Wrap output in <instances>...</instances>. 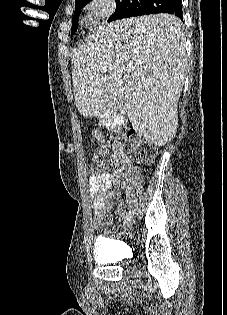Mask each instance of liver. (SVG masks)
<instances>
[{"mask_svg": "<svg viewBox=\"0 0 227 315\" xmlns=\"http://www.w3.org/2000/svg\"><path fill=\"white\" fill-rule=\"evenodd\" d=\"M185 42L181 20L166 13L117 20L89 35L71 62L79 113L93 117L124 103L140 136L166 144L188 73Z\"/></svg>", "mask_w": 227, "mask_h": 315, "instance_id": "liver-1", "label": "liver"}]
</instances>
